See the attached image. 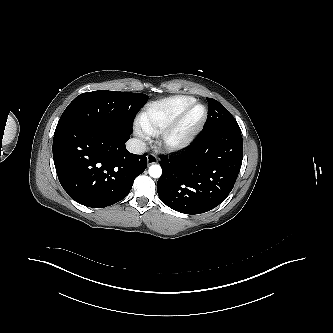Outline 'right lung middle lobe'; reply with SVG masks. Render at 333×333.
<instances>
[{"label": "right lung middle lobe", "instance_id": "1", "mask_svg": "<svg viewBox=\"0 0 333 333\" xmlns=\"http://www.w3.org/2000/svg\"><path fill=\"white\" fill-rule=\"evenodd\" d=\"M148 100L141 93L92 91L77 96L64 110L57 126H78L88 130L132 133L133 120Z\"/></svg>", "mask_w": 333, "mask_h": 333}]
</instances>
